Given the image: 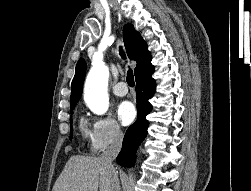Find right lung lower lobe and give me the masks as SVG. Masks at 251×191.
Returning a JSON list of instances; mask_svg holds the SVG:
<instances>
[{
	"label": "right lung lower lobe",
	"instance_id": "obj_1",
	"mask_svg": "<svg viewBox=\"0 0 251 191\" xmlns=\"http://www.w3.org/2000/svg\"><path fill=\"white\" fill-rule=\"evenodd\" d=\"M155 87V80L152 77L136 82L138 117L136 122L128 128L123 139L122 149L116 158L117 163L121 166L131 167L134 164L136 150L147 135L149 123L146 115L152 110L148 99L153 97Z\"/></svg>",
	"mask_w": 251,
	"mask_h": 191
}]
</instances>
